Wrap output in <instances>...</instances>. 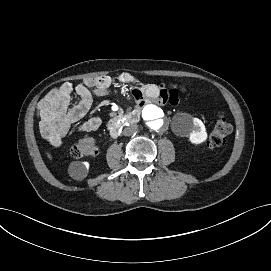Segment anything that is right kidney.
I'll use <instances>...</instances> for the list:
<instances>
[{"label": "right kidney", "mask_w": 271, "mask_h": 271, "mask_svg": "<svg viewBox=\"0 0 271 271\" xmlns=\"http://www.w3.org/2000/svg\"><path fill=\"white\" fill-rule=\"evenodd\" d=\"M88 170L89 163L79 161L72 162L68 168L69 175L75 180H83L87 176Z\"/></svg>", "instance_id": "ca27d5eb"}]
</instances>
